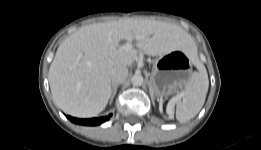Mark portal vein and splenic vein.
Instances as JSON below:
<instances>
[{"label":"portal vein and splenic vein","instance_id":"portal-vein-and-splenic-vein-1","mask_svg":"<svg viewBox=\"0 0 261 150\" xmlns=\"http://www.w3.org/2000/svg\"><path fill=\"white\" fill-rule=\"evenodd\" d=\"M140 38L141 37H138L137 39H140ZM132 48H133V46L131 43H126L125 45L122 46V49H124V50H130Z\"/></svg>","mask_w":261,"mask_h":150}]
</instances>
